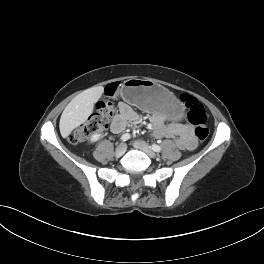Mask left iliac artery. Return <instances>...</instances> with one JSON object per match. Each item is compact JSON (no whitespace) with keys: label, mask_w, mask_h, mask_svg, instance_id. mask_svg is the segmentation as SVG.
I'll return each mask as SVG.
<instances>
[{"label":"left iliac artery","mask_w":264,"mask_h":264,"mask_svg":"<svg viewBox=\"0 0 264 264\" xmlns=\"http://www.w3.org/2000/svg\"><path fill=\"white\" fill-rule=\"evenodd\" d=\"M151 149L155 152H160L161 151V147L157 144H152L151 145Z\"/></svg>","instance_id":"1"}]
</instances>
